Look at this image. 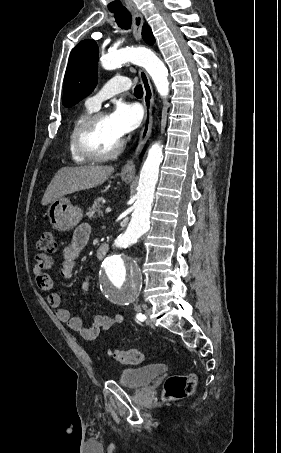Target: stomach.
Wrapping results in <instances>:
<instances>
[{
  "instance_id": "obj_1",
  "label": "stomach",
  "mask_w": 281,
  "mask_h": 453,
  "mask_svg": "<svg viewBox=\"0 0 281 453\" xmlns=\"http://www.w3.org/2000/svg\"><path fill=\"white\" fill-rule=\"evenodd\" d=\"M132 178L133 176H127V174L123 176V180H126V182L132 180ZM46 214L53 229L61 231V233L71 231V229L77 227L78 222H80L83 216L82 208L74 206V204H71L69 198H64V196L52 200L47 208Z\"/></svg>"
}]
</instances>
